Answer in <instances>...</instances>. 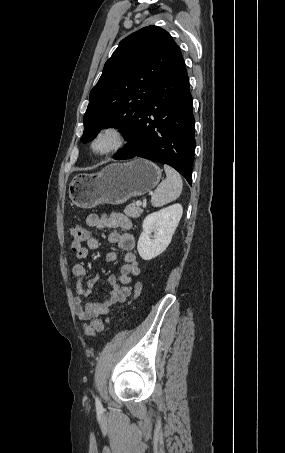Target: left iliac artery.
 I'll list each match as a JSON object with an SVG mask.
<instances>
[{
    "mask_svg": "<svg viewBox=\"0 0 285 453\" xmlns=\"http://www.w3.org/2000/svg\"><path fill=\"white\" fill-rule=\"evenodd\" d=\"M95 402H96V408H97V409H101V408H102V405H101V402H100V400H99L98 397L95 398Z\"/></svg>",
    "mask_w": 285,
    "mask_h": 453,
    "instance_id": "obj_1",
    "label": "left iliac artery"
}]
</instances>
